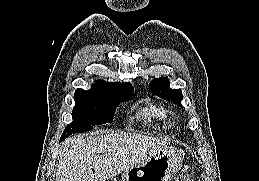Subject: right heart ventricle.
<instances>
[{"label": "right heart ventricle", "instance_id": "e07e8e85", "mask_svg": "<svg viewBox=\"0 0 259 181\" xmlns=\"http://www.w3.org/2000/svg\"><path fill=\"white\" fill-rule=\"evenodd\" d=\"M139 116L143 119H154L157 121H169L172 117L171 112L162 105L152 104L140 110Z\"/></svg>", "mask_w": 259, "mask_h": 181}]
</instances>
